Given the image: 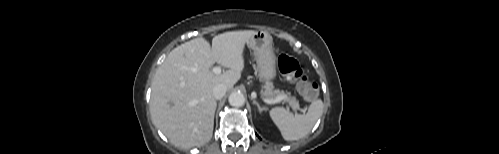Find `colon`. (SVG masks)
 <instances>
[{
	"instance_id": "5ec220e1",
	"label": "colon",
	"mask_w": 499,
	"mask_h": 154,
	"mask_svg": "<svg viewBox=\"0 0 499 154\" xmlns=\"http://www.w3.org/2000/svg\"><path fill=\"white\" fill-rule=\"evenodd\" d=\"M278 68L288 80L296 83L298 90L306 100L312 101L318 97L319 85L308 80L295 58L287 54H281L278 57Z\"/></svg>"
}]
</instances>
